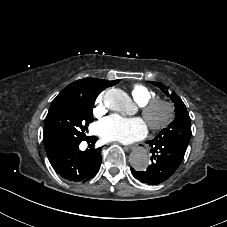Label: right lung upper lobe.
<instances>
[{
  "mask_svg": "<svg viewBox=\"0 0 227 227\" xmlns=\"http://www.w3.org/2000/svg\"><path fill=\"white\" fill-rule=\"evenodd\" d=\"M120 79L114 81H107L96 78H85L77 80L67 87H65L58 95H84L89 92L99 94L102 90L107 87L116 85ZM98 96V95H97Z\"/></svg>",
  "mask_w": 227,
  "mask_h": 227,
  "instance_id": "1",
  "label": "right lung upper lobe"
}]
</instances>
